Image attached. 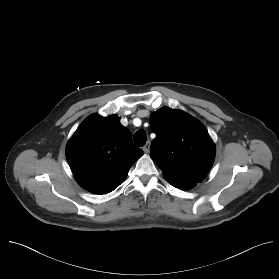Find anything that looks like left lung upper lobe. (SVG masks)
<instances>
[{
	"instance_id": "5c2ea615",
	"label": "left lung upper lobe",
	"mask_w": 279,
	"mask_h": 279,
	"mask_svg": "<svg viewBox=\"0 0 279 279\" xmlns=\"http://www.w3.org/2000/svg\"><path fill=\"white\" fill-rule=\"evenodd\" d=\"M150 128L156 134L150 156L164 177L192 183L205 178L214 161L215 146L198 120L164 107L151 114Z\"/></svg>"
}]
</instances>
